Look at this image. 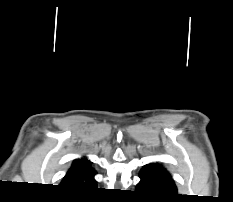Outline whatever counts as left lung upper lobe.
Returning <instances> with one entry per match:
<instances>
[{"mask_svg": "<svg viewBox=\"0 0 233 202\" xmlns=\"http://www.w3.org/2000/svg\"><path fill=\"white\" fill-rule=\"evenodd\" d=\"M145 168H152V169H154L155 171H157L159 173L166 174V175L171 177L170 173L163 166H161L158 163L148 164V165L145 166Z\"/></svg>", "mask_w": 233, "mask_h": 202, "instance_id": "left-lung-upper-lobe-1", "label": "left lung upper lobe"}]
</instances>
